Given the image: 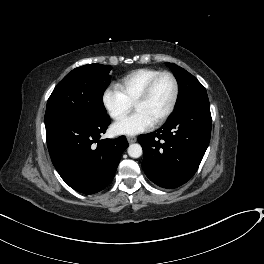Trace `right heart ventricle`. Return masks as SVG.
I'll return each mask as SVG.
<instances>
[{"label": "right heart ventricle", "instance_id": "right-heart-ventricle-1", "mask_svg": "<svg viewBox=\"0 0 264 264\" xmlns=\"http://www.w3.org/2000/svg\"><path fill=\"white\" fill-rule=\"evenodd\" d=\"M158 73H160V70L152 68L131 71L121 79L118 87L129 101L134 103L146 84Z\"/></svg>", "mask_w": 264, "mask_h": 264}]
</instances>
